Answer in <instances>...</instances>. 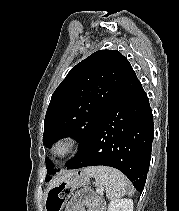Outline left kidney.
I'll return each mask as SVG.
<instances>
[{"label": "left kidney", "instance_id": "left-kidney-1", "mask_svg": "<svg viewBox=\"0 0 179 211\" xmlns=\"http://www.w3.org/2000/svg\"><path fill=\"white\" fill-rule=\"evenodd\" d=\"M108 211H133V200L131 199L113 200L108 205Z\"/></svg>", "mask_w": 179, "mask_h": 211}]
</instances>
